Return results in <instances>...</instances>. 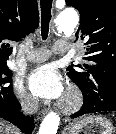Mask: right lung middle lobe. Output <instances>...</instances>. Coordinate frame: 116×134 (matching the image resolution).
<instances>
[{"instance_id":"right-lung-middle-lobe-1","label":"right lung middle lobe","mask_w":116,"mask_h":134,"mask_svg":"<svg viewBox=\"0 0 116 134\" xmlns=\"http://www.w3.org/2000/svg\"><path fill=\"white\" fill-rule=\"evenodd\" d=\"M11 76L7 65L0 66V105L12 103L16 99Z\"/></svg>"}]
</instances>
